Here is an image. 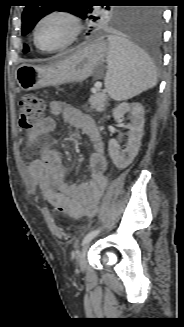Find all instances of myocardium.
Wrapping results in <instances>:
<instances>
[{
  "label": "myocardium",
  "mask_w": 184,
  "mask_h": 327,
  "mask_svg": "<svg viewBox=\"0 0 184 327\" xmlns=\"http://www.w3.org/2000/svg\"><path fill=\"white\" fill-rule=\"evenodd\" d=\"M51 17H62L64 19H66L70 24L71 33H70L69 38L63 44H61L57 47H54V48H44L38 42V29L45 20H47ZM81 32H82V24L77 15H75L73 12L65 10V9H55V10H51V11L45 13L37 20V22L35 23L34 28H33V40H34L35 46L39 50H41L43 52H47V53H52V52L64 50V49L68 48L69 46H71L78 39Z\"/></svg>",
  "instance_id": "myocardium-1"
}]
</instances>
